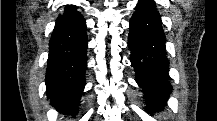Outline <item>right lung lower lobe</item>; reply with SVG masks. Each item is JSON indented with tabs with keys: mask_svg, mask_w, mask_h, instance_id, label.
<instances>
[{
	"mask_svg": "<svg viewBox=\"0 0 217 121\" xmlns=\"http://www.w3.org/2000/svg\"><path fill=\"white\" fill-rule=\"evenodd\" d=\"M86 22L76 7L59 15L49 42L46 69L47 95L61 113L74 116L85 86Z\"/></svg>",
	"mask_w": 217,
	"mask_h": 121,
	"instance_id": "obj_1",
	"label": "right lung lower lobe"
}]
</instances>
